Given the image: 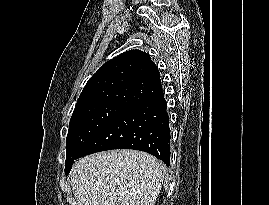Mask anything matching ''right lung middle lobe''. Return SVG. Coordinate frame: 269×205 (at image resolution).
I'll return each mask as SVG.
<instances>
[{
	"label": "right lung middle lobe",
	"instance_id": "obj_1",
	"mask_svg": "<svg viewBox=\"0 0 269 205\" xmlns=\"http://www.w3.org/2000/svg\"><path fill=\"white\" fill-rule=\"evenodd\" d=\"M126 108L127 106L118 104H97L74 110L66 139V175L80 150L104 125Z\"/></svg>",
	"mask_w": 269,
	"mask_h": 205
}]
</instances>
